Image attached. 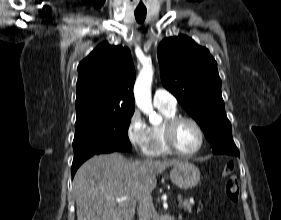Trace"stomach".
<instances>
[{
	"label": "stomach",
	"mask_w": 281,
	"mask_h": 220,
	"mask_svg": "<svg viewBox=\"0 0 281 220\" xmlns=\"http://www.w3.org/2000/svg\"><path fill=\"white\" fill-rule=\"evenodd\" d=\"M171 181L182 189L195 187L200 181V171L192 163L181 162L170 171Z\"/></svg>",
	"instance_id": "0dacf381"
}]
</instances>
